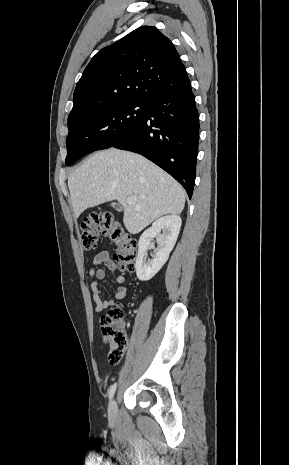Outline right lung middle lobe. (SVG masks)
I'll use <instances>...</instances> for the list:
<instances>
[{
    "instance_id": "obj_1",
    "label": "right lung middle lobe",
    "mask_w": 289,
    "mask_h": 465,
    "mask_svg": "<svg viewBox=\"0 0 289 465\" xmlns=\"http://www.w3.org/2000/svg\"><path fill=\"white\" fill-rule=\"evenodd\" d=\"M148 104L146 100H122L88 107L85 117L69 129L66 164L72 165L89 152L110 148L126 137L144 120Z\"/></svg>"
}]
</instances>
